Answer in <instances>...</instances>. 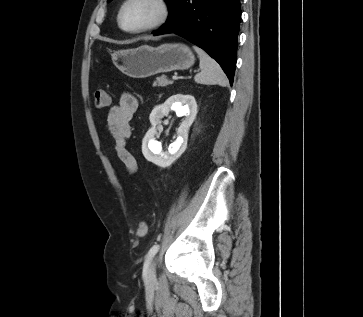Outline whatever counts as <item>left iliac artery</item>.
I'll list each match as a JSON object with an SVG mask.
<instances>
[{
	"label": "left iliac artery",
	"instance_id": "1",
	"mask_svg": "<svg viewBox=\"0 0 363 317\" xmlns=\"http://www.w3.org/2000/svg\"><path fill=\"white\" fill-rule=\"evenodd\" d=\"M159 248H160V246L158 244H155L150 248V250L147 254V260H146L147 263H149V261L152 260V258L156 255Z\"/></svg>",
	"mask_w": 363,
	"mask_h": 317
}]
</instances>
